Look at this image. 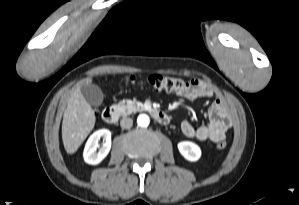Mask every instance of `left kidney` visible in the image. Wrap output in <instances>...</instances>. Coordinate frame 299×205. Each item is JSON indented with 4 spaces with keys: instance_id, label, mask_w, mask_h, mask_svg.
Here are the masks:
<instances>
[{
    "instance_id": "obj_1",
    "label": "left kidney",
    "mask_w": 299,
    "mask_h": 205,
    "mask_svg": "<svg viewBox=\"0 0 299 205\" xmlns=\"http://www.w3.org/2000/svg\"><path fill=\"white\" fill-rule=\"evenodd\" d=\"M178 150L186 160L191 162L197 161L201 157L200 147L190 141L179 142Z\"/></svg>"
}]
</instances>
